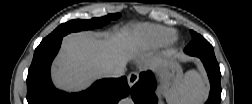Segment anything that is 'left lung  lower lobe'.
I'll use <instances>...</instances> for the list:
<instances>
[{"instance_id": "0a47b994", "label": "left lung lower lobe", "mask_w": 252, "mask_h": 104, "mask_svg": "<svg viewBox=\"0 0 252 104\" xmlns=\"http://www.w3.org/2000/svg\"><path fill=\"white\" fill-rule=\"evenodd\" d=\"M185 51V50H184ZM186 53V51H185ZM207 71L211 84L210 94L205 104H220L221 73L216 58L199 57ZM156 80L151 71L142 72L138 82L131 88V97L135 104H157L155 95Z\"/></svg>"}]
</instances>
